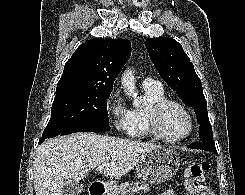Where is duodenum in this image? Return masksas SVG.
Returning <instances> with one entry per match:
<instances>
[{"mask_svg":"<svg viewBox=\"0 0 245 195\" xmlns=\"http://www.w3.org/2000/svg\"><path fill=\"white\" fill-rule=\"evenodd\" d=\"M108 190L100 183L93 182L89 189V195H107Z\"/></svg>","mask_w":245,"mask_h":195,"instance_id":"obj_1","label":"duodenum"}]
</instances>
